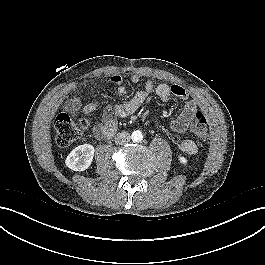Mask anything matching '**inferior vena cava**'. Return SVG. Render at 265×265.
<instances>
[{
	"label": "inferior vena cava",
	"mask_w": 265,
	"mask_h": 265,
	"mask_svg": "<svg viewBox=\"0 0 265 265\" xmlns=\"http://www.w3.org/2000/svg\"><path fill=\"white\" fill-rule=\"evenodd\" d=\"M130 138L131 136L128 132L122 131L116 135L115 143L121 145V144L129 142Z\"/></svg>",
	"instance_id": "obj_1"
}]
</instances>
